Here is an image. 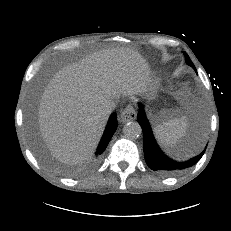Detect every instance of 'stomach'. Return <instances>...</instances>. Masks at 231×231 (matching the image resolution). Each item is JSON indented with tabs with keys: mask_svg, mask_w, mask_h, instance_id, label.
<instances>
[{
	"mask_svg": "<svg viewBox=\"0 0 231 231\" xmlns=\"http://www.w3.org/2000/svg\"><path fill=\"white\" fill-rule=\"evenodd\" d=\"M158 91V81L152 80L147 91L145 92V98L150 101L156 98Z\"/></svg>",
	"mask_w": 231,
	"mask_h": 231,
	"instance_id": "stomach-1",
	"label": "stomach"
}]
</instances>
